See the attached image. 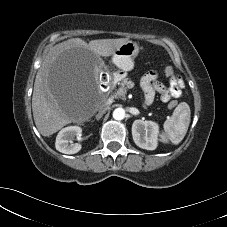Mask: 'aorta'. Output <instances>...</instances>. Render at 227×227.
Masks as SVG:
<instances>
[{
  "label": "aorta",
  "instance_id": "1",
  "mask_svg": "<svg viewBox=\"0 0 227 227\" xmlns=\"http://www.w3.org/2000/svg\"><path fill=\"white\" fill-rule=\"evenodd\" d=\"M113 118L115 120H122L125 118V110L123 108H116L113 111Z\"/></svg>",
  "mask_w": 227,
  "mask_h": 227
}]
</instances>
